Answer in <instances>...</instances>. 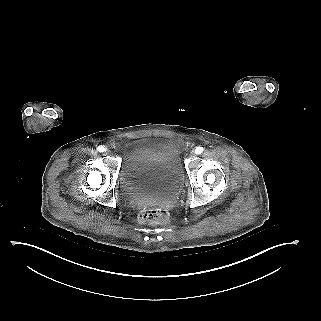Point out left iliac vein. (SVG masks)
Here are the masks:
<instances>
[{"instance_id":"left-iliac-vein-1","label":"left iliac vein","mask_w":321,"mask_h":321,"mask_svg":"<svg viewBox=\"0 0 321 321\" xmlns=\"http://www.w3.org/2000/svg\"><path fill=\"white\" fill-rule=\"evenodd\" d=\"M196 156V154L194 152L190 153V158H194Z\"/></svg>"}]
</instances>
